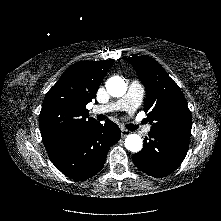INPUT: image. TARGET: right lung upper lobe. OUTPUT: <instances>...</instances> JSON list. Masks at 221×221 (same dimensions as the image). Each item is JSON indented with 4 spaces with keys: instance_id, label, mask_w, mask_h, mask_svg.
Returning <instances> with one entry per match:
<instances>
[{
    "instance_id": "right-lung-upper-lobe-1",
    "label": "right lung upper lobe",
    "mask_w": 221,
    "mask_h": 221,
    "mask_svg": "<svg viewBox=\"0 0 221 221\" xmlns=\"http://www.w3.org/2000/svg\"><path fill=\"white\" fill-rule=\"evenodd\" d=\"M113 60L80 61L70 66L47 92L40 112V131L48 153L68 143L83 128L97 122L87 118L86 105L96 92Z\"/></svg>"
}]
</instances>
